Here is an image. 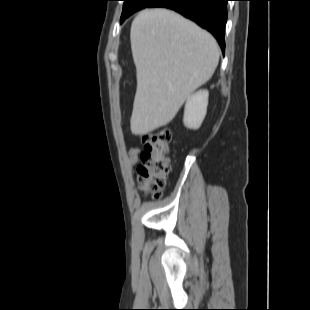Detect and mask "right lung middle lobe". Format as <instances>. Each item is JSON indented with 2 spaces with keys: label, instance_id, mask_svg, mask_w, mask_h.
I'll return each instance as SVG.
<instances>
[{
  "label": "right lung middle lobe",
  "instance_id": "obj_1",
  "mask_svg": "<svg viewBox=\"0 0 310 310\" xmlns=\"http://www.w3.org/2000/svg\"><path fill=\"white\" fill-rule=\"evenodd\" d=\"M156 0H124L123 12L121 16V20L129 17L134 12L148 7Z\"/></svg>",
  "mask_w": 310,
  "mask_h": 310
}]
</instances>
